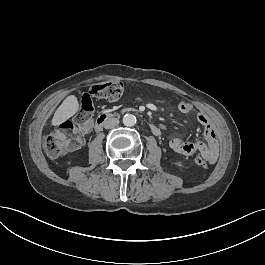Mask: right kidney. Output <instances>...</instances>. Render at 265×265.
<instances>
[{"mask_svg": "<svg viewBox=\"0 0 265 265\" xmlns=\"http://www.w3.org/2000/svg\"><path fill=\"white\" fill-rule=\"evenodd\" d=\"M71 157H73V156H72V155H67V156H66V158H71Z\"/></svg>", "mask_w": 265, "mask_h": 265, "instance_id": "obj_1", "label": "right kidney"}]
</instances>
